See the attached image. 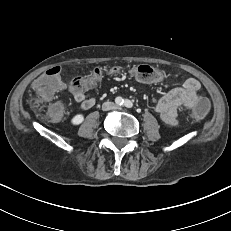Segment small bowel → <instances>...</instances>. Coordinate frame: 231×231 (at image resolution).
<instances>
[{
  "instance_id": "c3829d8e",
  "label": "small bowel",
  "mask_w": 231,
  "mask_h": 231,
  "mask_svg": "<svg viewBox=\"0 0 231 231\" xmlns=\"http://www.w3.org/2000/svg\"><path fill=\"white\" fill-rule=\"evenodd\" d=\"M66 88L68 93L83 110H88L95 104V98L84 91L73 89L72 85L62 83L60 89ZM200 83L194 78H188L184 83L159 98L152 100L154 110L159 114L162 123L168 127L175 126L178 122V112L182 108L191 109L201 96L198 95Z\"/></svg>"
}]
</instances>
